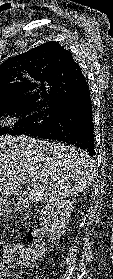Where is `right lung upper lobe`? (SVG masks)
<instances>
[{"instance_id": "cb5924a9", "label": "right lung upper lobe", "mask_w": 113, "mask_h": 279, "mask_svg": "<svg viewBox=\"0 0 113 279\" xmlns=\"http://www.w3.org/2000/svg\"><path fill=\"white\" fill-rule=\"evenodd\" d=\"M25 70L31 83L20 72ZM87 84L71 51L49 41L0 66V108L31 104L62 107L75 99Z\"/></svg>"}]
</instances>
